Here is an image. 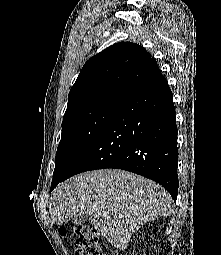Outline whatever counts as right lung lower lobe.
<instances>
[{"label":"right lung lower lobe","mask_w":221,"mask_h":255,"mask_svg":"<svg viewBox=\"0 0 221 255\" xmlns=\"http://www.w3.org/2000/svg\"><path fill=\"white\" fill-rule=\"evenodd\" d=\"M177 161L175 107L166 78L161 76L119 105L58 183L84 171L116 168L156 181L176 201Z\"/></svg>","instance_id":"right-lung-lower-lobe-1"}]
</instances>
